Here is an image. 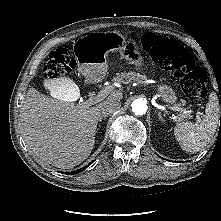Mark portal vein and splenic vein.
<instances>
[{"label":"portal vein and splenic vein","instance_id":"obj_1","mask_svg":"<svg viewBox=\"0 0 221 221\" xmlns=\"http://www.w3.org/2000/svg\"><path fill=\"white\" fill-rule=\"evenodd\" d=\"M112 91V87L108 86L106 88H104L102 91H100L97 95L93 96L90 95V98L88 99V101L86 102L88 105H92L95 103L100 102L101 100H103V98L108 95L110 92ZM172 110L174 111H180L185 113L186 111L183 108H178V107H171ZM199 115H197V119H199Z\"/></svg>","mask_w":221,"mask_h":221}]
</instances>
